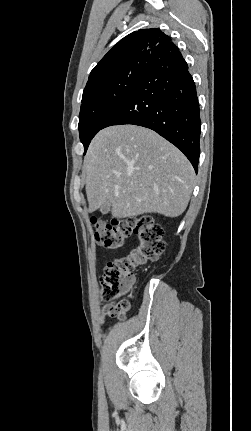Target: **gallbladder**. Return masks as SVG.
<instances>
[{"label": "gallbladder", "instance_id": "gallbladder-1", "mask_svg": "<svg viewBox=\"0 0 251 431\" xmlns=\"http://www.w3.org/2000/svg\"><path fill=\"white\" fill-rule=\"evenodd\" d=\"M110 209H111V206H110V204L109 203H104L101 207H100V211H101V213L102 214H108L109 213V211H110Z\"/></svg>", "mask_w": 251, "mask_h": 431}]
</instances>
